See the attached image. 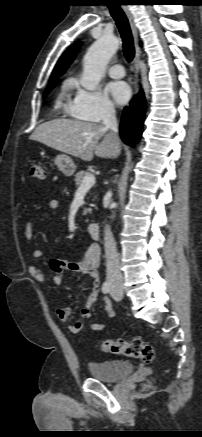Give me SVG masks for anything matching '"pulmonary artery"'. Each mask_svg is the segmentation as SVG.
Returning a JSON list of instances; mask_svg holds the SVG:
<instances>
[{"instance_id": "pulmonary-artery-1", "label": "pulmonary artery", "mask_w": 202, "mask_h": 437, "mask_svg": "<svg viewBox=\"0 0 202 437\" xmlns=\"http://www.w3.org/2000/svg\"><path fill=\"white\" fill-rule=\"evenodd\" d=\"M108 74L112 78L119 79L124 77L125 70L121 64H115L109 67Z\"/></svg>"}]
</instances>
